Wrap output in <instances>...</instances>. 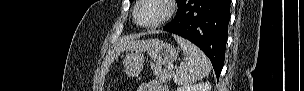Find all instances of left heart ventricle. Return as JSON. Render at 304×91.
<instances>
[{
    "instance_id": "obj_1",
    "label": "left heart ventricle",
    "mask_w": 304,
    "mask_h": 91,
    "mask_svg": "<svg viewBox=\"0 0 304 91\" xmlns=\"http://www.w3.org/2000/svg\"><path fill=\"white\" fill-rule=\"evenodd\" d=\"M165 13V6L159 0H145L138 10V20L142 24L157 21Z\"/></svg>"
}]
</instances>
